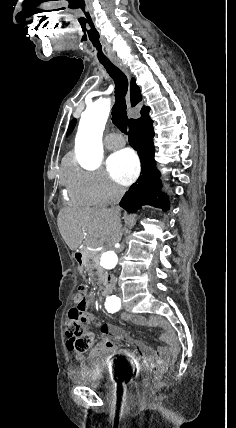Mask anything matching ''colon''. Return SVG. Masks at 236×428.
I'll list each match as a JSON object with an SVG mask.
<instances>
[{
  "instance_id": "1",
  "label": "colon",
  "mask_w": 236,
  "mask_h": 428,
  "mask_svg": "<svg viewBox=\"0 0 236 428\" xmlns=\"http://www.w3.org/2000/svg\"><path fill=\"white\" fill-rule=\"evenodd\" d=\"M89 298L85 286H80L75 296V306L70 309L66 321L67 346L76 352H85L92 347L93 336L85 326L89 321ZM160 374L146 375L141 380V388L152 391L160 382Z\"/></svg>"
}]
</instances>
